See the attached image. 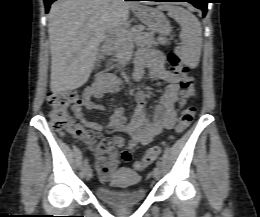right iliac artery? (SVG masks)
Here are the masks:
<instances>
[{"label": "right iliac artery", "mask_w": 260, "mask_h": 217, "mask_svg": "<svg viewBox=\"0 0 260 217\" xmlns=\"http://www.w3.org/2000/svg\"><path fill=\"white\" fill-rule=\"evenodd\" d=\"M84 166L85 167L88 166V160L87 159L84 160Z\"/></svg>", "instance_id": "1"}]
</instances>
